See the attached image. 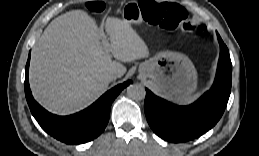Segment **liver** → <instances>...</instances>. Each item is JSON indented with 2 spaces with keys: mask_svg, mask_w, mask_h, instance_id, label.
I'll list each match as a JSON object with an SVG mask.
<instances>
[{
  "mask_svg": "<svg viewBox=\"0 0 259 156\" xmlns=\"http://www.w3.org/2000/svg\"><path fill=\"white\" fill-rule=\"evenodd\" d=\"M105 31L82 10L66 12L46 27L33 48L29 71L32 94L45 109L68 115L97 100L111 82L110 73L126 72L111 54L121 62L149 55L129 22L109 18Z\"/></svg>",
  "mask_w": 259,
  "mask_h": 156,
  "instance_id": "1",
  "label": "liver"
}]
</instances>
